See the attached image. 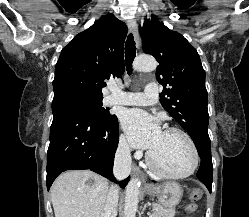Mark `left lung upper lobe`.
Masks as SVG:
<instances>
[{
	"label": "left lung upper lobe",
	"mask_w": 249,
	"mask_h": 217,
	"mask_svg": "<svg viewBox=\"0 0 249 217\" xmlns=\"http://www.w3.org/2000/svg\"><path fill=\"white\" fill-rule=\"evenodd\" d=\"M140 33L144 52L159 63L156 77L163 86L162 106L188 132L200 156L211 153L208 94L199 54L181 34L153 16Z\"/></svg>",
	"instance_id": "1"
}]
</instances>
